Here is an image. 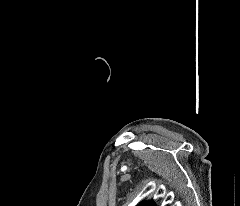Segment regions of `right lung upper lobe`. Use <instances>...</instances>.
<instances>
[{
  "mask_svg": "<svg viewBox=\"0 0 240 206\" xmlns=\"http://www.w3.org/2000/svg\"><path fill=\"white\" fill-rule=\"evenodd\" d=\"M137 206H156V205L151 200V201H148V202H145V203H141V204H139Z\"/></svg>",
  "mask_w": 240,
  "mask_h": 206,
  "instance_id": "cb5924a9",
  "label": "right lung upper lobe"
}]
</instances>
